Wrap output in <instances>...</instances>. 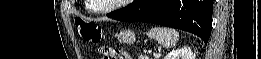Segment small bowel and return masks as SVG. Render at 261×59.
<instances>
[{"mask_svg":"<svg viewBox=\"0 0 261 59\" xmlns=\"http://www.w3.org/2000/svg\"><path fill=\"white\" fill-rule=\"evenodd\" d=\"M122 58H125V59H130V55L127 53V55L123 56Z\"/></svg>","mask_w":261,"mask_h":59,"instance_id":"c3829d8e","label":"small bowel"}]
</instances>
